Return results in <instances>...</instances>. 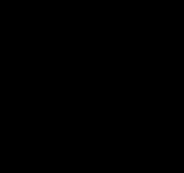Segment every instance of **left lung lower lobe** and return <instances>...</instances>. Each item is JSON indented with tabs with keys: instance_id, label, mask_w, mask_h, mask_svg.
I'll return each instance as SVG.
<instances>
[{
	"instance_id": "0a47b994",
	"label": "left lung lower lobe",
	"mask_w": 184,
	"mask_h": 173,
	"mask_svg": "<svg viewBox=\"0 0 184 173\" xmlns=\"http://www.w3.org/2000/svg\"><path fill=\"white\" fill-rule=\"evenodd\" d=\"M98 142L102 154L119 168L142 163L158 145V142L152 143L138 136L125 125L117 127L106 122L101 127Z\"/></svg>"
}]
</instances>
